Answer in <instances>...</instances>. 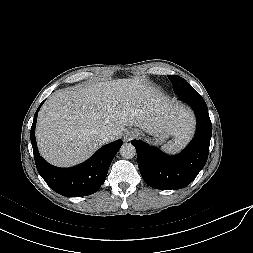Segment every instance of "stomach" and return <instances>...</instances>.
Masks as SVG:
<instances>
[{
    "label": "stomach",
    "mask_w": 253,
    "mask_h": 253,
    "mask_svg": "<svg viewBox=\"0 0 253 253\" xmlns=\"http://www.w3.org/2000/svg\"><path fill=\"white\" fill-rule=\"evenodd\" d=\"M153 136L152 139V142H154L155 144H161L163 143L169 136V134H167L165 131L163 130H160V131H157V132H154L153 134H150Z\"/></svg>",
    "instance_id": "1"
}]
</instances>
